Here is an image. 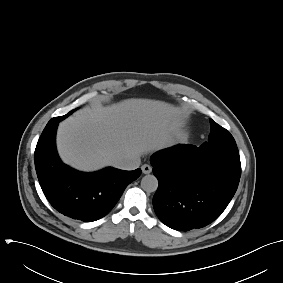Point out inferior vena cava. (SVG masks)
<instances>
[{
	"instance_id": "obj_1",
	"label": "inferior vena cava",
	"mask_w": 283,
	"mask_h": 283,
	"mask_svg": "<svg viewBox=\"0 0 283 283\" xmlns=\"http://www.w3.org/2000/svg\"><path fill=\"white\" fill-rule=\"evenodd\" d=\"M140 158L137 156L117 159L113 166L123 170H134L140 166Z\"/></svg>"
}]
</instances>
